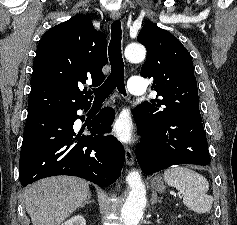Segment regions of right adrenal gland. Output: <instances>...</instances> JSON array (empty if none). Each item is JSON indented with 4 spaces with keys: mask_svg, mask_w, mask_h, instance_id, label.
I'll list each match as a JSON object with an SVG mask.
<instances>
[{
    "mask_svg": "<svg viewBox=\"0 0 237 225\" xmlns=\"http://www.w3.org/2000/svg\"><path fill=\"white\" fill-rule=\"evenodd\" d=\"M91 198V193H89L88 198L85 200V202L81 205V207H84L86 204L93 203L94 200H90Z\"/></svg>",
    "mask_w": 237,
    "mask_h": 225,
    "instance_id": "1",
    "label": "right adrenal gland"
}]
</instances>
